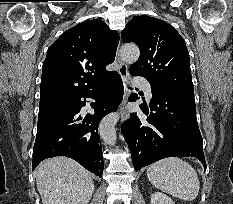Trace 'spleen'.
<instances>
[{
	"label": "spleen",
	"mask_w": 233,
	"mask_h": 204,
	"mask_svg": "<svg viewBox=\"0 0 233 204\" xmlns=\"http://www.w3.org/2000/svg\"><path fill=\"white\" fill-rule=\"evenodd\" d=\"M151 184L184 201H193L199 193V179L194 168L178 157L157 161L147 169Z\"/></svg>",
	"instance_id": "spleen-1"
}]
</instances>
